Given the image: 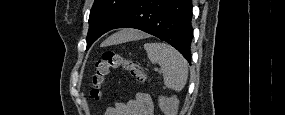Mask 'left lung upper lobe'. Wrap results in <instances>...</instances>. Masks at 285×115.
<instances>
[{
    "mask_svg": "<svg viewBox=\"0 0 285 115\" xmlns=\"http://www.w3.org/2000/svg\"><path fill=\"white\" fill-rule=\"evenodd\" d=\"M134 0H95L89 16L87 49L104 33Z\"/></svg>",
    "mask_w": 285,
    "mask_h": 115,
    "instance_id": "1",
    "label": "left lung upper lobe"
}]
</instances>
